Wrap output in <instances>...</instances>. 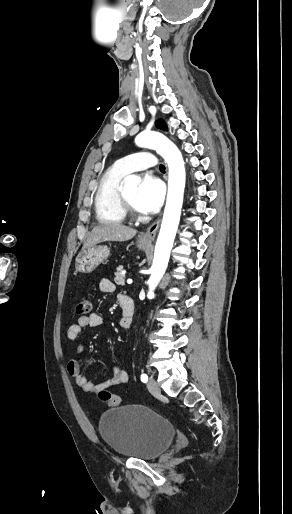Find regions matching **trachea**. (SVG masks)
Masks as SVG:
<instances>
[{
    "label": "trachea",
    "mask_w": 292,
    "mask_h": 514,
    "mask_svg": "<svg viewBox=\"0 0 292 514\" xmlns=\"http://www.w3.org/2000/svg\"><path fill=\"white\" fill-rule=\"evenodd\" d=\"M159 169L160 170H165V166L161 164V165H159Z\"/></svg>",
    "instance_id": "obj_1"
}]
</instances>
